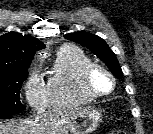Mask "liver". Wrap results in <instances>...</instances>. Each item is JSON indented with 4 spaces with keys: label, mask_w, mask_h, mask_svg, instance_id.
<instances>
[{
    "label": "liver",
    "mask_w": 153,
    "mask_h": 134,
    "mask_svg": "<svg viewBox=\"0 0 153 134\" xmlns=\"http://www.w3.org/2000/svg\"><path fill=\"white\" fill-rule=\"evenodd\" d=\"M78 108L57 111L39 115L33 120L26 121H0V134H67Z\"/></svg>",
    "instance_id": "1"
}]
</instances>
